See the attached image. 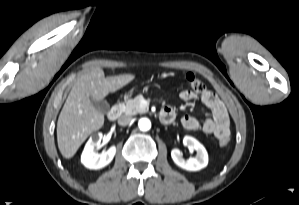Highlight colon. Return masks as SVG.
Here are the masks:
<instances>
[{
	"instance_id": "colon-1",
	"label": "colon",
	"mask_w": 299,
	"mask_h": 205,
	"mask_svg": "<svg viewBox=\"0 0 299 205\" xmlns=\"http://www.w3.org/2000/svg\"><path fill=\"white\" fill-rule=\"evenodd\" d=\"M185 80L188 86V90L196 94H201L206 91L205 84L200 79H198L194 74L192 73L186 74ZM229 141H230L229 136H223L218 140L219 145L222 147L228 145Z\"/></svg>"
}]
</instances>
